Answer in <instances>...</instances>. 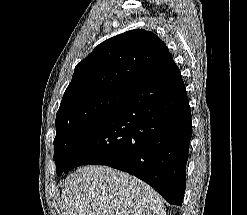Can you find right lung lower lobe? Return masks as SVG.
Listing matches in <instances>:
<instances>
[{
    "instance_id": "right-lung-lower-lobe-1",
    "label": "right lung lower lobe",
    "mask_w": 247,
    "mask_h": 215,
    "mask_svg": "<svg viewBox=\"0 0 247 215\" xmlns=\"http://www.w3.org/2000/svg\"><path fill=\"white\" fill-rule=\"evenodd\" d=\"M191 129L185 85L171 56L116 113L77 141L68 171L107 165L145 181L170 204L182 205Z\"/></svg>"
}]
</instances>
